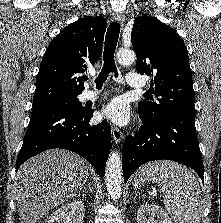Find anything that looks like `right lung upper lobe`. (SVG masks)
<instances>
[{
  "label": "right lung upper lobe",
  "instance_id": "cb5924a9",
  "mask_svg": "<svg viewBox=\"0 0 221 223\" xmlns=\"http://www.w3.org/2000/svg\"><path fill=\"white\" fill-rule=\"evenodd\" d=\"M106 26L104 18L87 16L53 39L40 64L33 104L75 97L83 91L78 74L100 58Z\"/></svg>",
  "mask_w": 221,
  "mask_h": 223
}]
</instances>
